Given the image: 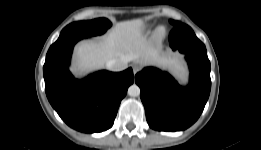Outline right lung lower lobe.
Masks as SVG:
<instances>
[{
  "label": "right lung lower lobe",
  "mask_w": 261,
  "mask_h": 150,
  "mask_svg": "<svg viewBox=\"0 0 261 150\" xmlns=\"http://www.w3.org/2000/svg\"><path fill=\"white\" fill-rule=\"evenodd\" d=\"M86 37L89 35H61L47 52L43 75L47 98L58 115L78 131L96 133L112 127L134 76L129 68L75 79L68 70L72 50L76 42Z\"/></svg>",
  "instance_id": "1"
}]
</instances>
